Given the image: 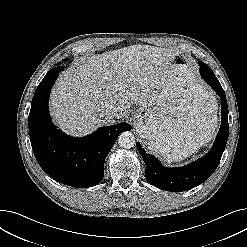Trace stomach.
Here are the masks:
<instances>
[{
	"label": "stomach",
	"instance_id": "stomach-1",
	"mask_svg": "<svg viewBox=\"0 0 247 247\" xmlns=\"http://www.w3.org/2000/svg\"><path fill=\"white\" fill-rule=\"evenodd\" d=\"M170 64L177 71L169 86L151 108L139 111L137 123L149 149L168 162L188 157L211 138L217 108L215 97L189 67L185 55L177 53Z\"/></svg>",
	"mask_w": 247,
	"mask_h": 247
}]
</instances>
